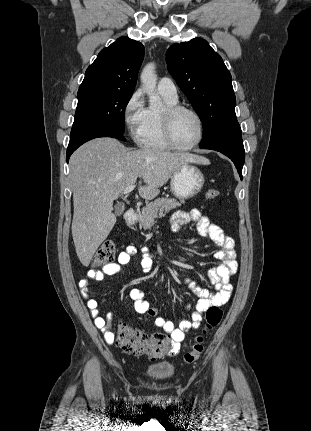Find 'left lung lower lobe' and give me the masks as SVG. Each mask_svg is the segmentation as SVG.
Returning <instances> with one entry per match:
<instances>
[{"mask_svg": "<svg viewBox=\"0 0 311 431\" xmlns=\"http://www.w3.org/2000/svg\"><path fill=\"white\" fill-rule=\"evenodd\" d=\"M200 148L215 150L229 157L234 162L240 178L242 179V167L245 161V151L241 133L227 136L208 145L200 146Z\"/></svg>", "mask_w": 311, "mask_h": 431, "instance_id": "left-lung-lower-lobe-1", "label": "left lung lower lobe"}]
</instances>
